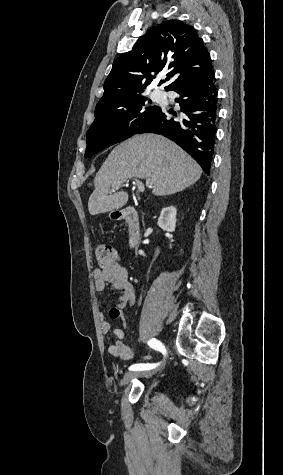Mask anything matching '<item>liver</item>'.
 Instances as JSON below:
<instances>
[{
    "label": "liver",
    "mask_w": 283,
    "mask_h": 475,
    "mask_svg": "<svg viewBox=\"0 0 283 475\" xmlns=\"http://www.w3.org/2000/svg\"><path fill=\"white\" fill-rule=\"evenodd\" d=\"M201 174L199 164L168 138L136 134L116 146L96 174L95 190L88 202L89 214L96 216L123 208L128 202L127 192L111 196L108 192L130 178H147L153 184L152 194L170 196L195 184Z\"/></svg>",
    "instance_id": "liver-1"
}]
</instances>
